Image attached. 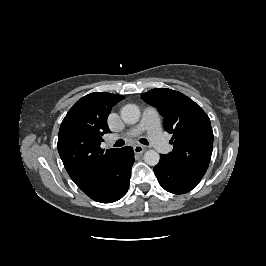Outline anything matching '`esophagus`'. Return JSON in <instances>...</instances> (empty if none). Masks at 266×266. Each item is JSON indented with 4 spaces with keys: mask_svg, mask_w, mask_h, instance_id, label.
Here are the masks:
<instances>
[{
    "mask_svg": "<svg viewBox=\"0 0 266 266\" xmlns=\"http://www.w3.org/2000/svg\"><path fill=\"white\" fill-rule=\"evenodd\" d=\"M133 149L136 154H141L145 151V148L142 145H135Z\"/></svg>",
    "mask_w": 266,
    "mask_h": 266,
    "instance_id": "obj_1",
    "label": "esophagus"
}]
</instances>
